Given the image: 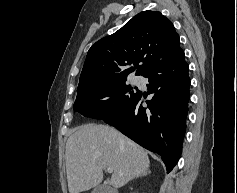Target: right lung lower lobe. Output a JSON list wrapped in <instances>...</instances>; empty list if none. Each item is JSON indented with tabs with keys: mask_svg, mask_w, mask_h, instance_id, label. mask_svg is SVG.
Wrapping results in <instances>:
<instances>
[{
	"mask_svg": "<svg viewBox=\"0 0 237 193\" xmlns=\"http://www.w3.org/2000/svg\"><path fill=\"white\" fill-rule=\"evenodd\" d=\"M188 70L181 49L144 75L149 78L148 93L153 94L146 108L139 91L123 110L103 119L142 147L159 154L168 173L182 152L190 96Z\"/></svg>",
	"mask_w": 237,
	"mask_h": 193,
	"instance_id": "right-lung-lower-lobe-1",
	"label": "right lung lower lobe"
}]
</instances>
